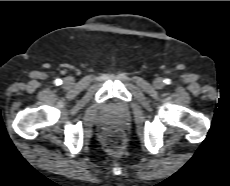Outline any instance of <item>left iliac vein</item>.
Segmentation results:
<instances>
[{"label": "left iliac vein", "instance_id": "4c4485c4", "mask_svg": "<svg viewBox=\"0 0 230 186\" xmlns=\"http://www.w3.org/2000/svg\"><path fill=\"white\" fill-rule=\"evenodd\" d=\"M153 85L157 89H161L164 87V81L162 78H156L153 82Z\"/></svg>", "mask_w": 230, "mask_h": 186}]
</instances>
